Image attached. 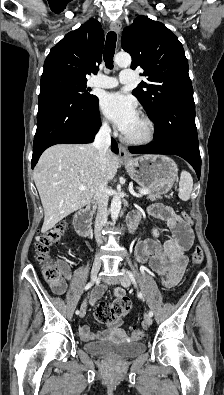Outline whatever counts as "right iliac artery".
Returning <instances> with one entry per match:
<instances>
[{
    "label": "right iliac artery",
    "instance_id": "1",
    "mask_svg": "<svg viewBox=\"0 0 224 395\" xmlns=\"http://www.w3.org/2000/svg\"><path fill=\"white\" fill-rule=\"evenodd\" d=\"M92 285H93V283L92 282H89L86 286H85V290L87 291V290H89L91 287H92ZM83 305V304H82ZM80 313V311L79 310H76V314L78 315Z\"/></svg>",
    "mask_w": 224,
    "mask_h": 395
}]
</instances>
